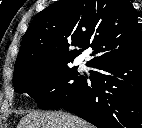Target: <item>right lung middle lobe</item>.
Wrapping results in <instances>:
<instances>
[{"instance_id": "right-lung-middle-lobe-1", "label": "right lung middle lobe", "mask_w": 142, "mask_h": 128, "mask_svg": "<svg viewBox=\"0 0 142 128\" xmlns=\"http://www.w3.org/2000/svg\"><path fill=\"white\" fill-rule=\"evenodd\" d=\"M87 77L77 67L38 63L14 74V90L27 93L40 109H59L67 105L84 87Z\"/></svg>"}]
</instances>
